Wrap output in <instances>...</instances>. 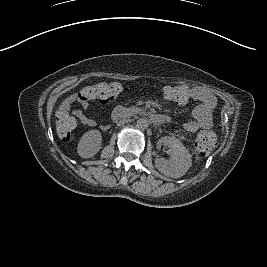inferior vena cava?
<instances>
[{
    "label": "inferior vena cava",
    "instance_id": "602c4592",
    "mask_svg": "<svg viewBox=\"0 0 267 267\" xmlns=\"http://www.w3.org/2000/svg\"><path fill=\"white\" fill-rule=\"evenodd\" d=\"M129 121H130L129 119H124V120L119 121L117 124L118 125H123V124H125V123H127Z\"/></svg>",
    "mask_w": 267,
    "mask_h": 267
}]
</instances>
